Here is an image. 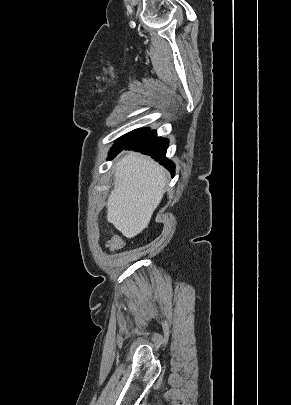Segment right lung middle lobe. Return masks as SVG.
Returning a JSON list of instances; mask_svg holds the SVG:
<instances>
[{
	"mask_svg": "<svg viewBox=\"0 0 291 405\" xmlns=\"http://www.w3.org/2000/svg\"><path fill=\"white\" fill-rule=\"evenodd\" d=\"M149 131V129L144 128V129H137L134 131H131L125 135H123L120 139H118L113 146L112 150L109 153V157L113 156L116 154V152L124 145H127L128 143L132 142L133 140L137 139L144 133Z\"/></svg>",
	"mask_w": 291,
	"mask_h": 405,
	"instance_id": "right-lung-middle-lobe-1",
	"label": "right lung middle lobe"
}]
</instances>
